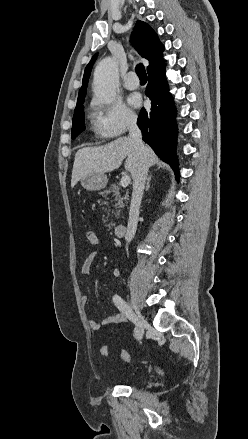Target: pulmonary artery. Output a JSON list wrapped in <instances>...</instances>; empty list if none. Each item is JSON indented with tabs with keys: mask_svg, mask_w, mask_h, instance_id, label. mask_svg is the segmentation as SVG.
<instances>
[{
	"mask_svg": "<svg viewBox=\"0 0 248 439\" xmlns=\"http://www.w3.org/2000/svg\"><path fill=\"white\" fill-rule=\"evenodd\" d=\"M123 85L128 90H135L139 87V80L134 72H128L123 80Z\"/></svg>",
	"mask_w": 248,
	"mask_h": 439,
	"instance_id": "1",
	"label": "pulmonary artery"
}]
</instances>
